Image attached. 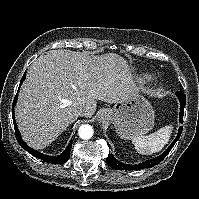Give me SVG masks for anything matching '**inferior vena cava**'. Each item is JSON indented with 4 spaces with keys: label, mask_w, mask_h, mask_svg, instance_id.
<instances>
[{
    "label": "inferior vena cava",
    "mask_w": 199,
    "mask_h": 199,
    "mask_svg": "<svg viewBox=\"0 0 199 199\" xmlns=\"http://www.w3.org/2000/svg\"><path fill=\"white\" fill-rule=\"evenodd\" d=\"M76 113L79 116H83L85 114V108L84 107H78L77 110H76Z\"/></svg>",
    "instance_id": "602c4592"
}]
</instances>
